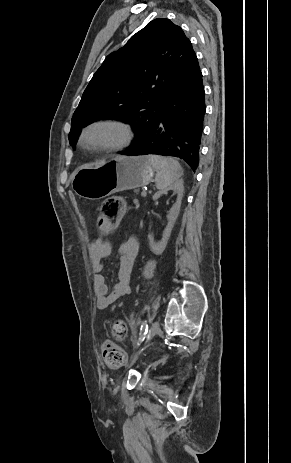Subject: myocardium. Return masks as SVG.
<instances>
[{
  "label": "myocardium",
  "instance_id": "1",
  "mask_svg": "<svg viewBox=\"0 0 291 463\" xmlns=\"http://www.w3.org/2000/svg\"><path fill=\"white\" fill-rule=\"evenodd\" d=\"M110 128L116 133L111 141L96 142L91 140L90 135L97 129ZM134 138L131 125L117 118H102L94 120L85 125L79 135V144L82 148L94 152H114L127 148Z\"/></svg>",
  "mask_w": 291,
  "mask_h": 463
}]
</instances>
